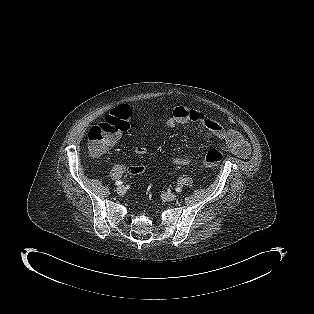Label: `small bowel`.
I'll use <instances>...</instances> for the list:
<instances>
[{
    "label": "small bowel",
    "instance_id": "obj_1",
    "mask_svg": "<svg viewBox=\"0 0 314 314\" xmlns=\"http://www.w3.org/2000/svg\"><path fill=\"white\" fill-rule=\"evenodd\" d=\"M156 120L163 124L166 129H173L177 124L195 122L203 126L213 137L223 142L227 148L234 154L247 158L250 155V145L243 138L240 132L233 128L225 127L218 120L208 116L204 112L189 108L188 106L177 104L170 110L160 109L156 113ZM120 139V135L110 144L113 146ZM109 146V147H110ZM138 155H144L148 148L144 145H138L134 148ZM173 163L176 165H187L190 160L187 158H175ZM132 174H139L145 170L144 166L136 165L128 168Z\"/></svg>",
    "mask_w": 314,
    "mask_h": 314
}]
</instances>
